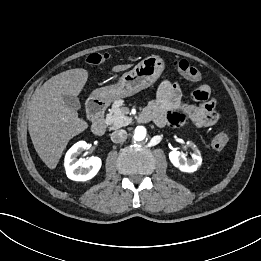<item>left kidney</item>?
<instances>
[{"label": "left kidney", "instance_id": "left-kidney-1", "mask_svg": "<svg viewBox=\"0 0 261 261\" xmlns=\"http://www.w3.org/2000/svg\"><path fill=\"white\" fill-rule=\"evenodd\" d=\"M190 145L194 152L191 154V159H187L179 151L173 150L169 153V159L171 163L177 167L182 172H195L202 163V157L199 149L196 145L187 142Z\"/></svg>", "mask_w": 261, "mask_h": 261}]
</instances>
